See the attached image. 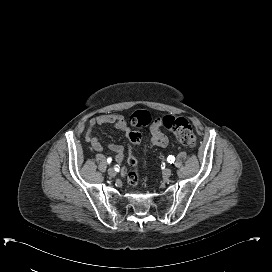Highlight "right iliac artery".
Instances as JSON below:
<instances>
[{
	"mask_svg": "<svg viewBox=\"0 0 272 272\" xmlns=\"http://www.w3.org/2000/svg\"><path fill=\"white\" fill-rule=\"evenodd\" d=\"M111 160H112L111 158H108V159H107V162H108V163H110V162H111Z\"/></svg>",
	"mask_w": 272,
	"mask_h": 272,
	"instance_id": "82829eb1",
	"label": "right iliac artery"
}]
</instances>
